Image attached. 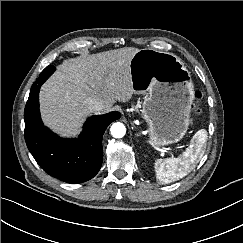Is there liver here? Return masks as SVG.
Returning <instances> with one entry per match:
<instances>
[{
    "instance_id": "liver-1",
    "label": "liver",
    "mask_w": 243,
    "mask_h": 243,
    "mask_svg": "<svg viewBox=\"0 0 243 243\" xmlns=\"http://www.w3.org/2000/svg\"><path fill=\"white\" fill-rule=\"evenodd\" d=\"M138 51L124 47L65 60L40 91L45 125L63 136H72L90 114L87 98L102 101L104 112L116 101H129L134 93L130 62Z\"/></svg>"
}]
</instances>
